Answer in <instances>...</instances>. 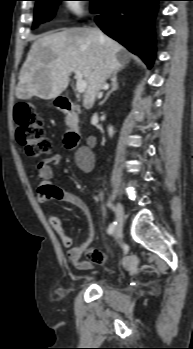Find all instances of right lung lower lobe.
I'll list each match as a JSON object with an SVG mask.
<instances>
[{
    "label": "right lung lower lobe",
    "instance_id": "1",
    "mask_svg": "<svg viewBox=\"0 0 193 349\" xmlns=\"http://www.w3.org/2000/svg\"><path fill=\"white\" fill-rule=\"evenodd\" d=\"M161 0H98L95 22L111 38L151 67L155 58L154 18Z\"/></svg>",
    "mask_w": 193,
    "mask_h": 349
}]
</instances>
